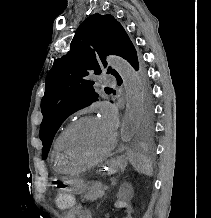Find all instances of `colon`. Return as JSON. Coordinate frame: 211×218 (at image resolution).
Returning a JSON list of instances; mask_svg holds the SVG:
<instances>
[{"label":"colon","instance_id":"colon-1","mask_svg":"<svg viewBox=\"0 0 211 218\" xmlns=\"http://www.w3.org/2000/svg\"><path fill=\"white\" fill-rule=\"evenodd\" d=\"M55 200L59 208L71 209L75 207V197L68 187H59Z\"/></svg>","mask_w":211,"mask_h":218}]
</instances>
